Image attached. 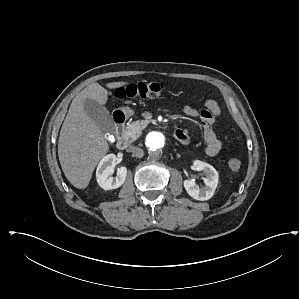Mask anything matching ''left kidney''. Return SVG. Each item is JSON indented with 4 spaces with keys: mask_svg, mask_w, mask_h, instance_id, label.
Segmentation results:
<instances>
[{
    "mask_svg": "<svg viewBox=\"0 0 299 299\" xmlns=\"http://www.w3.org/2000/svg\"><path fill=\"white\" fill-rule=\"evenodd\" d=\"M193 167L197 171H203L205 173L204 183L205 186L200 188L194 180H185L184 188L187 193L199 201H206L210 199L217 188L219 176L216 169L208 163L195 160L193 162Z\"/></svg>",
    "mask_w": 299,
    "mask_h": 299,
    "instance_id": "left-kidney-1",
    "label": "left kidney"
}]
</instances>
